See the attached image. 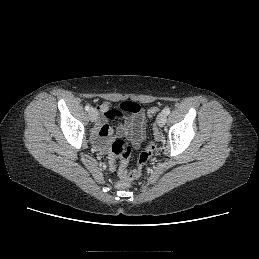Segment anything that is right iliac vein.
Masks as SVG:
<instances>
[{
	"mask_svg": "<svg viewBox=\"0 0 259 259\" xmlns=\"http://www.w3.org/2000/svg\"><path fill=\"white\" fill-rule=\"evenodd\" d=\"M89 119L92 121V122H95L97 120V112L94 110V109H91L89 111Z\"/></svg>",
	"mask_w": 259,
	"mask_h": 259,
	"instance_id": "right-iliac-vein-1",
	"label": "right iliac vein"
}]
</instances>
